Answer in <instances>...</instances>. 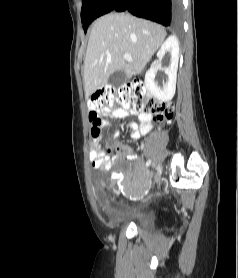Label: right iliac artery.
<instances>
[{
  "instance_id": "right-iliac-artery-1",
  "label": "right iliac artery",
  "mask_w": 238,
  "mask_h": 278,
  "mask_svg": "<svg viewBox=\"0 0 238 278\" xmlns=\"http://www.w3.org/2000/svg\"><path fill=\"white\" fill-rule=\"evenodd\" d=\"M151 164V160H148L145 164L146 167H148Z\"/></svg>"
}]
</instances>
